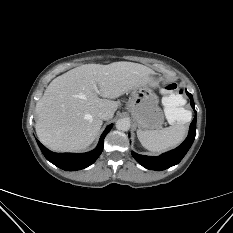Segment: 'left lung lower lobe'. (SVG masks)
I'll use <instances>...</instances> for the list:
<instances>
[{"label":"left lung lower lobe","mask_w":233,"mask_h":233,"mask_svg":"<svg viewBox=\"0 0 233 233\" xmlns=\"http://www.w3.org/2000/svg\"><path fill=\"white\" fill-rule=\"evenodd\" d=\"M191 100V106L195 111V117L190 125L189 134L186 140L176 149L166 152L158 157H149L132 152L134 159L143 167L150 170L162 171L178 164L191 147L196 135L197 113L194 108L193 96L186 91Z\"/></svg>","instance_id":"left-lung-lower-lobe-1"}]
</instances>
